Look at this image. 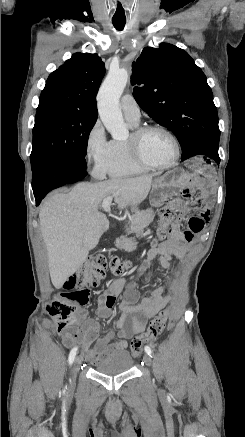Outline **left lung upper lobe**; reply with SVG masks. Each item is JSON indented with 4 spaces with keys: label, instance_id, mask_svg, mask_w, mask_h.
<instances>
[{
    "label": "left lung upper lobe",
    "instance_id": "left-lung-upper-lobe-1",
    "mask_svg": "<svg viewBox=\"0 0 245 437\" xmlns=\"http://www.w3.org/2000/svg\"><path fill=\"white\" fill-rule=\"evenodd\" d=\"M131 85L139 106L176 135L183 160L218 153L220 130L213 94L188 53L167 43L144 48L132 64Z\"/></svg>",
    "mask_w": 245,
    "mask_h": 437
}]
</instances>
